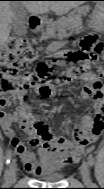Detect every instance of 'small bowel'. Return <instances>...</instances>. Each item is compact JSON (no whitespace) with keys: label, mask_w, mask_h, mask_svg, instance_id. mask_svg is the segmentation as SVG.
Here are the masks:
<instances>
[{"label":"small bowel","mask_w":104,"mask_h":189,"mask_svg":"<svg viewBox=\"0 0 104 189\" xmlns=\"http://www.w3.org/2000/svg\"><path fill=\"white\" fill-rule=\"evenodd\" d=\"M80 79L84 82L81 95L84 99L91 98L95 102V109L92 116H85L81 124L73 130L71 140L62 135L51 134L47 138H42L37 133L34 129V123L40 119L34 114L26 94L18 96L21 103L12 113L4 110L9 106V100L7 98L0 100L2 129L22 160L25 169L35 176H39L42 172L48 170L62 171L68 165L77 162L84 149L94 143L102 133L104 112L101 82L92 73H84ZM42 112L47 113L46 108H42ZM15 124L20 125L27 133L29 144L36 146V150L30 149L18 138L14 129Z\"/></svg>","instance_id":"small-bowel-1"}]
</instances>
